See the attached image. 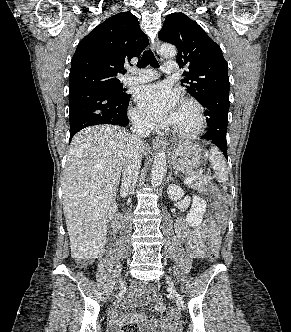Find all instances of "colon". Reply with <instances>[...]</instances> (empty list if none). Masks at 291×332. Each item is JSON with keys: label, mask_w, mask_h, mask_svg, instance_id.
<instances>
[{"label": "colon", "mask_w": 291, "mask_h": 332, "mask_svg": "<svg viewBox=\"0 0 291 332\" xmlns=\"http://www.w3.org/2000/svg\"><path fill=\"white\" fill-rule=\"evenodd\" d=\"M206 192L216 198L215 216L219 223L224 222L227 211V205L224 195L214 185H208L206 187ZM218 257V245L211 243L208 251V259L211 262H215L217 261ZM124 332H140V326L137 322H128L124 326Z\"/></svg>", "instance_id": "1"}]
</instances>
